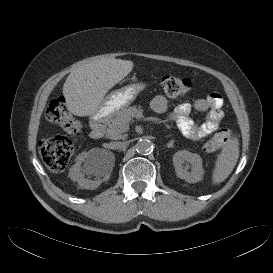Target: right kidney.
<instances>
[{"mask_svg": "<svg viewBox=\"0 0 273 273\" xmlns=\"http://www.w3.org/2000/svg\"><path fill=\"white\" fill-rule=\"evenodd\" d=\"M112 167L113 158L96 160L94 154L82 153L77 157L76 164L70 169L69 176L72 180L77 181L80 187L95 189L99 186L100 181H90L85 178V175H94L98 179L100 177L107 179L111 174Z\"/></svg>", "mask_w": 273, "mask_h": 273, "instance_id": "right-kidney-1", "label": "right kidney"}]
</instances>
